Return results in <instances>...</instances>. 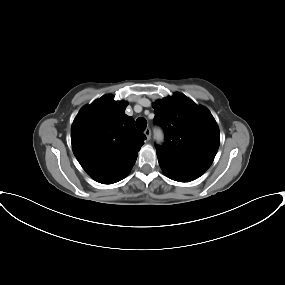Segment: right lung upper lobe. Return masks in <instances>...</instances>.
I'll return each mask as SVG.
<instances>
[{
  "mask_svg": "<svg viewBox=\"0 0 285 285\" xmlns=\"http://www.w3.org/2000/svg\"><path fill=\"white\" fill-rule=\"evenodd\" d=\"M127 102L105 95L84 106L71 128L74 155L96 181L112 184L124 178L146 139L125 114Z\"/></svg>",
  "mask_w": 285,
  "mask_h": 285,
  "instance_id": "cb5924a9",
  "label": "right lung upper lobe"
}]
</instances>
